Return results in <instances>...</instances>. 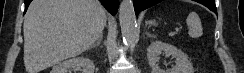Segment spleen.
<instances>
[{"label": "spleen", "mask_w": 244, "mask_h": 73, "mask_svg": "<svg viewBox=\"0 0 244 73\" xmlns=\"http://www.w3.org/2000/svg\"><path fill=\"white\" fill-rule=\"evenodd\" d=\"M186 23H187L188 28H189L188 35L191 38H199L202 36L203 28L201 25V20L195 12H191L188 15V17L186 19Z\"/></svg>", "instance_id": "obj_1"}]
</instances>
